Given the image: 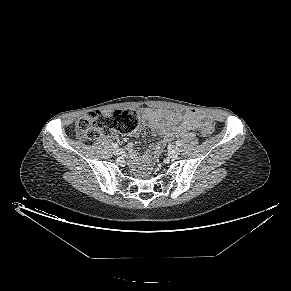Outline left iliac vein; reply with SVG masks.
Returning <instances> with one entry per match:
<instances>
[{"label": "left iliac vein", "mask_w": 291, "mask_h": 291, "mask_svg": "<svg viewBox=\"0 0 291 291\" xmlns=\"http://www.w3.org/2000/svg\"><path fill=\"white\" fill-rule=\"evenodd\" d=\"M169 154L171 156H173V157H176V156H178L180 154V149L178 147H176V146H173V147L170 148Z\"/></svg>", "instance_id": "left-iliac-vein-1"}]
</instances>
